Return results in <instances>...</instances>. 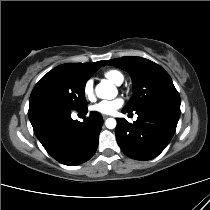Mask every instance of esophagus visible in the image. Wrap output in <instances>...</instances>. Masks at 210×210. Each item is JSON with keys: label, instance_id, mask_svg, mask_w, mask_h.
<instances>
[{"label": "esophagus", "instance_id": "34e87169", "mask_svg": "<svg viewBox=\"0 0 210 210\" xmlns=\"http://www.w3.org/2000/svg\"><path fill=\"white\" fill-rule=\"evenodd\" d=\"M102 117H103V119L105 120V119H107L109 116H108V115H103Z\"/></svg>", "mask_w": 210, "mask_h": 210}]
</instances>
